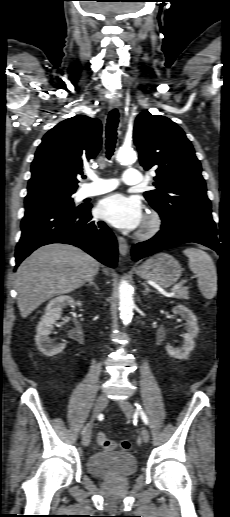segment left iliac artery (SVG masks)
I'll use <instances>...</instances> for the list:
<instances>
[{
  "mask_svg": "<svg viewBox=\"0 0 230 517\" xmlns=\"http://www.w3.org/2000/svg\"><path fill=\"white\" fill-rule=\"evenodd\" d=\"M135 406H136L137 410L139 411L143 422L145 424H148L147 416H146L145 412L143 411L142 407L139 404H137V403H135Z\"/></svg>",
  "mask_w": 230,
  "mask_h": 517,
  "instance_id": "44dca946",
  "label": "left iliac artery"
}]
</instances>
